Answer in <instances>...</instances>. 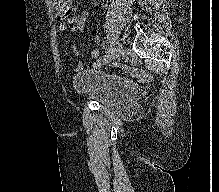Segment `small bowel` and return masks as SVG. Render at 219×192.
<instances>
[{"instance_id":"1","label":"small bowel","mask_w":219,"mask_h":192,"mask_svg":"<svg viewBox=\"0 0 219 192\" xmlns=\"http://www.w3.org/2000/svg\"><path fill=\"white\" fill-rule=\"evenodd\" d=\"M72 0H65V3L62 6L56 7L57 8V17L63 22L61 27L64 29L66 25H71V30L73 32H83L85 30L86 22L88 19V12L83 10L79 14H75L72 17H69L71 12H75L76 9L70 3ZM94 42L99 44L101 42V38L96 36L94 38ZM72 51L75 55H79L80 51L79 48L75 45L72 46ZM91 56L94 58V66L101 65L100 59V51L98 49H93L91 51ZM136 76H138V72H133ZM147 76L142 75L141 78L145 79Z\"/></svg>"}]
</instances>
